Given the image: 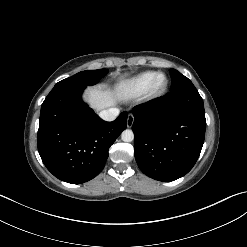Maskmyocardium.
I'll use <instances>...</instances> for the list:
<instances>
[{"label":"myocardium","instance_id":"obj_1","mask_svg":"<svg viewBox=\"0 0 247 247\" xmlns=\"http://www.w3.org/2000/svg\"><path fill=\"white\" fill-rule=\"evenodd\" d=\"M168 87V78L164 73H157L155 78L153 79L149 89L148 96L155 98L163 95Z\"/></svg>","mask_w":247,"mask_h":247}]
</instances>
